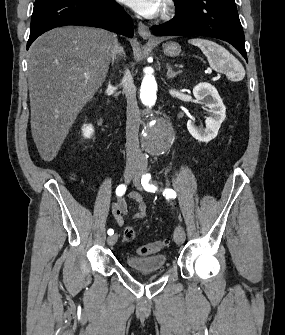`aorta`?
<instances>
[{"label":"aorta","mask_w":285,"mask_h":335,"mask_svg":"<svg viewBox=\"0 0 285 335\" xmlns=\"http://www.w3.org/2000/svg\"><path fill=\"white\" fill-rule=\"evenodd\" d=\"M145 76L142 80L140 90H136V97H140V102L144 107H149L150 112H155L159 107V102H165V95H160L157 90V82L152 74V68H144ZM172 125H167L166 119H151L150 125H143L139 131L142 137V147L144 152H151L152 156H157L158 152H169L171 141L176 136V131L172 130Z\"/></svg>","instance_id":"762f6f07"}]
</instances>
